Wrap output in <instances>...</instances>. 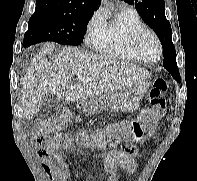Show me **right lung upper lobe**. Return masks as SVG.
<instances>
[{"instance_id": "obj_1", "label": "right lung upper lobe", "mask_w": 197, "mask_h": 181, "mask_svg": "<svg viewBox=\"0 0 197 181\" xmlns=\"http://www.w3.org/2000/svg\"><path fill=\"white\" fill-rule=\"evenodd\" d=\"M101 0H36L35 11H50L62 14L93 13Z\"/></svg>"}]
</instances>
